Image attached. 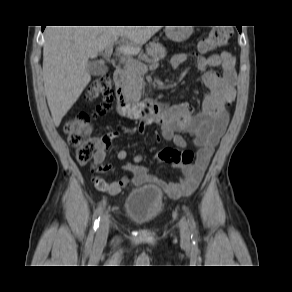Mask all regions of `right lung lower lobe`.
<instances>
[{
  "instance_id": "98d812e1",
  "label": "right lung lower lobe",
  "mask_w": 292,
  "mask_h": 292,
  "mask_svg": "<svg viewBox=\"0 0 292 292\" xmlns=\"http://www.w3.org/2000/svg\"><path fill=\"white\" fill-rule=\"evenodd\" d=\"M45 26H42V31L44 30Z\"/></svg>"
}]
</instances>
